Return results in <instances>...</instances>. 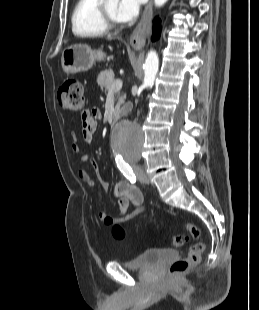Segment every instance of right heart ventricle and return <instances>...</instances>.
<instances>
[{
  "instance_id": "right-heart-ventricle-1",
  "label": "right heart ventricle",
  "mask_w": 259,
  "mask_h": 310,
  "mask_svg": "<svg viewBox=\"0 0 259 310\" xmlns=\"http://www.w3.org/2000/svg\"><path fill=\"white\" fill-rule=\"evenodd\" d=\"M99 3L100 0H77L72 14V29L77 36L97 37L107 32L98 17Z\"/></svg>"
}]
</instances>
